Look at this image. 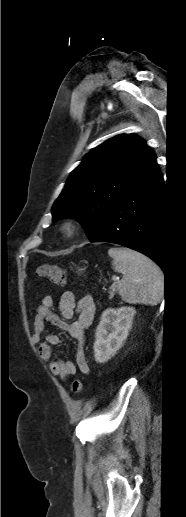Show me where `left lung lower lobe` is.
Wrapping results in <instances>:
<instances>
[{"label":"left lung lower lobe","mask_w":186,"mask_h":517,"mask_svg":"<svg viewBox=\"0 0 186 517\" xmlns=\"http://www.w3.org/2000/svg\"><path fill=\"white\" fill-rule=\"evenodd\" d=\"M163 176L156 160L105 216L91 242H110L136 250L167 274L163 255Z\"/></svg>","instance_id":"1"}]
</instances>
